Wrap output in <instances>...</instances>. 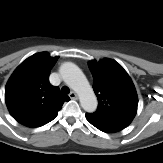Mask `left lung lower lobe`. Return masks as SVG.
I'll use <instances>...</instances> for the list:
<instances>
[{
    "instance_id": "obj_1",
    "label": "left lung lower lobe",
    "mask_w": 163,
    "mask_h": 163,
    "mask_svg": "<svg viewBox=\"0 0 163 163\" xmlns=\"http://www.w3.org/2000/svg\"><path fill=\"white\" fill-rule=\"evenodd\" d=\"M86 118L92 125H94L96 128L106 133L118 132L130 124L129 122H123V121H107V120L94 119L88 116L87 114H86Z\"/></svg>"
}]
</instances>
